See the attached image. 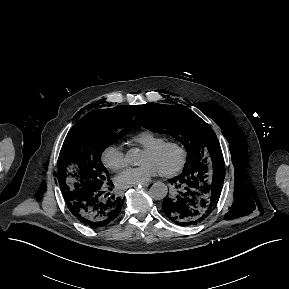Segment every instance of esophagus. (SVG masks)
<instances>
[{"label":"esophagus","mask_w":289,"mask_h":289,"mask_svg":"<svg viewBox=\"0 0 289 289\" xmlns=\"http://www.w3.org/2000/svg\"><path fill=\"white\" fill-rule=\"evenodd\" d=\"M149 185H150V183H146V184H143L141 187L146 188V187H148Z\"/></svg>","instance_id":"34e87169"}]
</instances>
